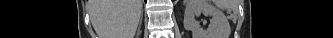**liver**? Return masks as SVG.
Wrapping results in <instances>:
<instances>
[{
	"mask_svg": "<svg viewBox=\"0 0 333 38\" xmlns=\"http://www.w3.org/2000/svg\"><path fill=\"white\" fill-rule=\"evenodd\" d=\"M142 0H90L89 14L99 38H134Z\"/></svg>",
	"mask_w": 333,
	"mask_h": 38,
	"instance_id": "obj_1",
	"label": "liver"
}]
</instances>
